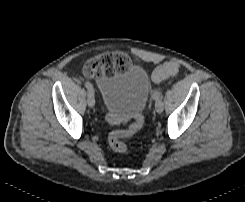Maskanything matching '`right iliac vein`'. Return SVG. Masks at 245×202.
<instances>
[{
  "label": "right iliac vein",
  "instance_id": "obj_1",
  "mask_svg": "<svg viewBox=\"0 0 245 202\" xmlns=\"http://www.w3.org/2000/svg\"><path fill=\"white\" fill-rule=\"evenodd\" d=\"M87 102H88V106L89 107H91V108L94 107V105H95V97H94L93 92L89 91V93L87 95Z\"/></svg>",
  "mask_w": 245,
  "mask_h": 202
}]
</instances>
